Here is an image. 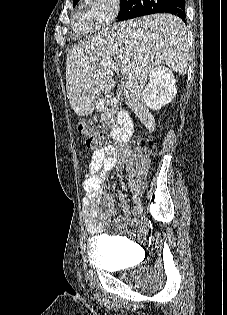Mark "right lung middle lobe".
Instances as JSON below:
<instances>
[{
    "label": "right lung middle lobe",
    "instance_id": "1",
    "mask_svg": "<svg viewBox=\"0 0 227 315\" xmlns=\"http://www.w3.org/2000/svg\"><path fill=\"white\" fill-rule=\"evenodd\" d=\"M78 1H79V0L73 1V7H75V5L78 3ZM125 1H131V0H120V4H121L122 2H125Z\"/></svg>",
    "mask_w": 227,
    "mask_h": 315
}]
</instances>
